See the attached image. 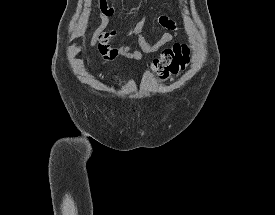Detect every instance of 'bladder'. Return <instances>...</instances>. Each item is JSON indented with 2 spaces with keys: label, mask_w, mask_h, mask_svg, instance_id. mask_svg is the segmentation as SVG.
Wrapping results in <instances>:
<instances>
[{
  "label": "bladder",
  "mask_w": 275,
  "mask_h": 215,
  "mask_svg": "<svg viewBox=\"0 0 275 215\" xmlns=\"http://www.w3.org/2000/svg\"><path fill=\"white\" fill-rule=\"evenodd\" d=\"M110 79L113 81V82H120L123 80V77L121 75H118V74H111L110 75Z\"/></svg>",
  "instance_id": "obj_1"
}]
</instances>
